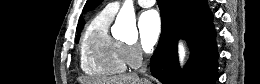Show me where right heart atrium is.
Masks as SVG:
<instances>
[{"instance_id":"d8ad5b80","label":"right heart atrium","mask_w":260,"mask_h":84,"mask_svg":"<svg viewBox=\"0 0 260 84\" xmlns=\"http://www.w3.org/2000/svg\"><path fill=\"white\" fill-rule=\"evenodd\" d=\"M123 53L126 63L131 67L138 66L144 59V53L137 45H124Z\"/></svg>"}]
</instances>
